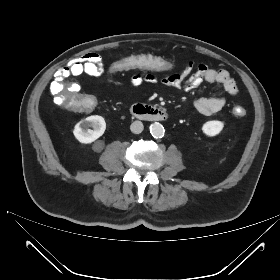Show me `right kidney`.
I'll return each instance as SVG.
<instances>
[{"label": "right kidney", "instance_id": "obj_1", "mask_svg": "<svg viewBox=\"0 0 280 280\" xmlns=\"http://www.w3.org/2000/svg\"><path fill=\"white\" fill-rule=\"evenodd\" d=\"M106 123L102 116L93 115L79 121L73 130L75 138L84 144L92 143L102 136Z\"/></svg>", "mask_w": 280, "mask_h": 280}]
</instances>
